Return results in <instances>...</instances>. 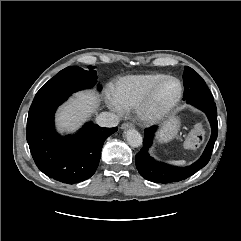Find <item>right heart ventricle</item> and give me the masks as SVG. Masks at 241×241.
<instances>
[{"instance_id": "right-heart-ventricle-1", "label": "right heart ventricle", "mask_w": 241, "mask_h": 241, "mask_svg": "<svg viewBox=\"0 0 241 241\" xmlns=\"http://www.w3.org/2000/svg\"><path fill=\"white\" fill-rule=\"evenodd\" d=\"M165 76L162 73H145L122 77L113 84L112 95L124 110L134 109Z\"/></svg>"}]
</instances>
